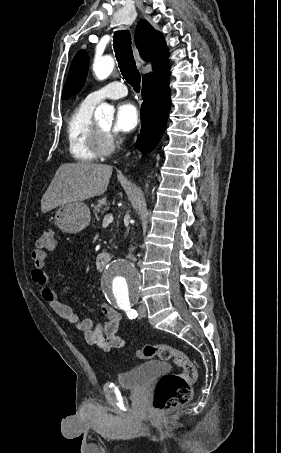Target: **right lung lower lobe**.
I'll list each match as a JSON object with an SVG mask.
<instances>
[{"mask_svg":"<svg viewBox=\"0 0 281 453\" xmlns=\"http://www.w3.org/2000/svg\"><path fill=\"white\" fill-rule=\"evenodd\" d=\"M154 73L143 76L141 107L142 129L137 148L149 152L160 141L171 107L168 57L153 67Z\"/></svg>","mask_w":281,"mask_h":453,"instance_id":"98d812e1","label":"right lung lower lobe"}]
</instances>
